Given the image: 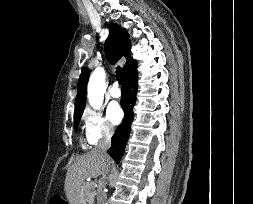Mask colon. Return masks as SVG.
Segmentation results:
<instances>
[{"label":"colon","instance_id":"5ec220e1","mask_svg":"<svg viewBox=\"0 0 253 204\" xmlns=\"http://www.w3.org/2000/svg\"><path fill=\"white\" fill-rule=\"evenodd\" d=\"M50 204H63L62 198L60 196H54L51 198Z\"/></svg>","mask_w":253,"mask_h":204}]
</instances>
